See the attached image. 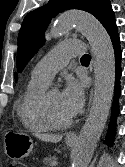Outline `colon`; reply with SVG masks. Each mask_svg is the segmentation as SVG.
I'll list each match as a JSON object with an SVG mask.
<instances>
[{"label": "colon", "mask_w": 125, "mask_h": 167, "mask_svg": "<svg viewBox=\"0 0 125 167\" xmlns=\"http://www.w3.org/2000/svg\"><path fill=\"white\" fill-rule=\"evenodd\" d=\"M9 167H27L23 162L15 161L12 162Z\"/></svg>", "instance_id": "5ec220e1"}]
</instances>
